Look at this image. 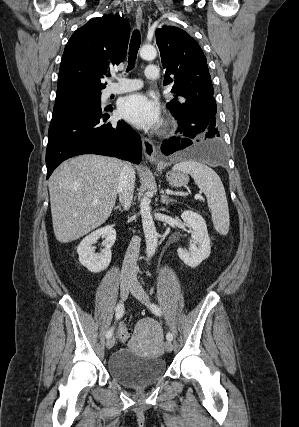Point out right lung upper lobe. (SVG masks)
Returning a JSON list of instances; mask_svg holds the SVG:
<instances>
[{"label":"right lung upper lobe","instance_id":"cb5924a9","mask_svg":"<svg viewBox=\"0 0 299 427\" xmlns=\"http://www.w3.org/2000/svg\"><path fill=\"white\" fill-rule=\"evenodd\" d=\"M130 28L119 15L92 18L67 42L61 60L56 103L101 93V78L125 57Z\"/></svg>","mask_w":299,"mask_h":427}]
</instances>
